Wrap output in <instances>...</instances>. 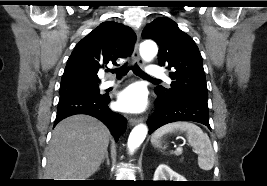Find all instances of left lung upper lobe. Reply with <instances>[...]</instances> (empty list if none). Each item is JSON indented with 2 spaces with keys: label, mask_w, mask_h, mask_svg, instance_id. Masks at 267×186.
I'll return each mask as SVG.
<instances>
[{
  "label": "left lung upper lobe",
  "mask_w": 267,
  "mask_h": 186,
  "mask_svg": "<svg viewBox=\"0 0 267 186\" xmlns=\"http://www.w3.org/2000/svg\"><path fill=\"white\" fill-rule=\"evenodd\" d=\"M144 39H152L159 45L160 66L171 70V88L158 86V96L197 98L207 101L208 90L202 56L193 39L181 31L170 18L161 17L146 25Z\"/></svg>",
  "instance_id": "left-lung-upper-lobe-1"
}]
</instances>
